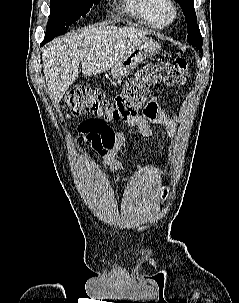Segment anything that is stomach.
Masks as SVG:
<instances>
[{"label": "stomach", "instance_id": "1", "mask_svg": "<svg viewBox=\"0 0 239 303\" xmlns=\"http://www.w3.org/2000/svg\"><path fill=\"white\" fill-rule=\"evenodd\" d=\"M161 48L153 39L145 38L129 48L122 58L111 67V76L122 79L128 76L144 59L155 56Z\"/></svg>", "mask_w": 239, "mask_h": 303}]
</instances>
